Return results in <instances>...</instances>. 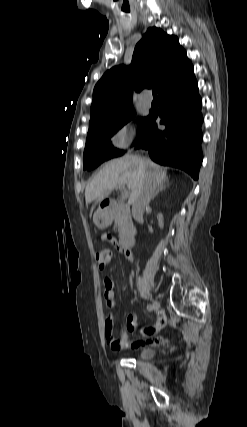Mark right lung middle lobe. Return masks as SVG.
<instances>
[{
	"mask_svg": "<svg viewBox=\"0 0 247 427\" xmlns=\"http://www.w3.org/2000/svg\"><path fill=\"white\" fill-rule=\"evenodd\" d=\"M135 115L134 108L129 107L123 110L115 119L88 130L83 154L84 170H92L102 162L124 153V151L115 149L111 145L110 139L122 126L132 120ZM138 121L141 123L139 136L142 139L148 125L149 117L138 119Z\"/></svg>",
	"mask_w": 247,
	"mask_h": 427,
	"instance_id": "dd1d6c3e",
	"label": "right lung middle lobe"
}]
</instances>
